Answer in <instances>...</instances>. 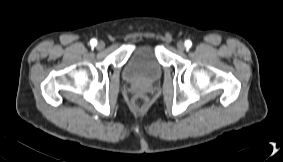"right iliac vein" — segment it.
Instances as JSON below:
<instances>
[{
    "mask_svg": "<svg viewBox=\"0 0 283 162\" xmlns=\"http://www.w3.org/2000/svg\"><path fill=\"white\" fill-rule=\"evenodd\" d=\"M105 47V43L103 41H99L97 44V49L101 50Z\"/></svg>",
    "mask_w": 283,
    "mask_h": 162,
    "instance_id": "1",
    "label": "right iliac vein"
}]
</instances>
